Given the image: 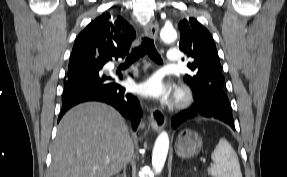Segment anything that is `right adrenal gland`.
<instances>
[{
  "mask_svg": "<svg viewBox=\"0 0 287 177\" xmlns=\"http://www.w3.org/2000/svg\"><path fill=\"white\" fill-rule=\"evenodd\" d=\"M126 168H127L126 166L123 168V174L122 175H117L116 177H121V176L122 177H127L126 176Z\"/></svg>",
  "mask_w": 287,
  "mask_h": 177,
  "instance_id": "1",
  "label": "right adrenal gland"
}]
</instances>
